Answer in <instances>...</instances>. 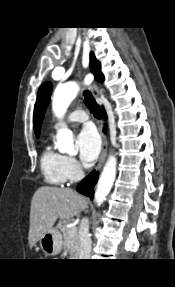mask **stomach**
I'll return each mask as SVG.
<instances>
[{
  "label": "stomach",
  "mask_w": 175,
  "mask_h": 287,
  "mask_svg": "<svg viewBox=\"0 0 175 287\" xmlns=\"http://www.w3.org/2000/svg\"><path fill=\"white\" fill-rule=\"evenodd\" d=\"M62 244V236L55 228L48 230L40 239V247L47 255H56L60 253Z\"/></svg>",
  "instance_id": "stomach-1"
}]
</instances>
